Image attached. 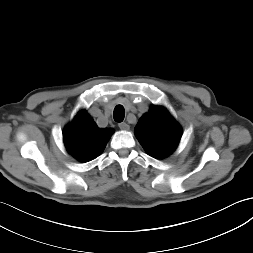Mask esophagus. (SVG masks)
Instances as JSON below:
<instances>
[{
    "label": "esophagus",
    "mask_w": 253,
    "mask_h": 253,
    "mask_svg": "<svg viewBox=\"0 0 253 253\" xmlns=\"http://www.w3.org/2000/svg\"><path fill=\"white\" fill-rule=\"evenodd\" d=\"M118 126L121 130H129L130 128L129 125L125 122L119 123Z\"/></svg>",
    "instance_id": "esophagus-1"
}]
</instances>
